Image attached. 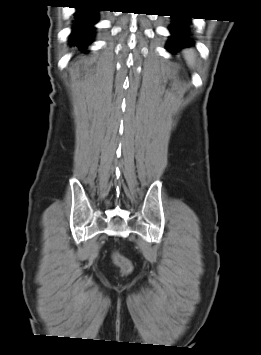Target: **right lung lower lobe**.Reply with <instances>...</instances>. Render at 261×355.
I'll list each match as a JSON object with an SVG mask.
<instances>
[{"mask_svg": "<svg viewBox=\"0 0 261 355\" xmlns=\"http://www.w3.org/2000/svg\"><path fill=\"white\" fill-rule=\"evenodd\" d=\"M97 22V9L92 7L77 8L76 26L72 32L71 44L81 49H86L88 42L92 40L93 24Z\"/></svg>", "mask_w": 261, "mask_h": 355, "instance_id": "1", "label": "right lung lower lobe"}]
</instances>
